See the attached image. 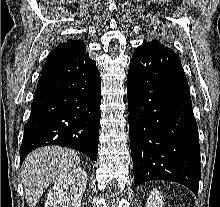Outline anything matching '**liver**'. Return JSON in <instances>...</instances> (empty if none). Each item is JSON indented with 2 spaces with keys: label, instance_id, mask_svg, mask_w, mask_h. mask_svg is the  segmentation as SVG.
<instances>
[{
  "label": "liver",
  "instance_id": "1",
  "mask_svg": "<svg viewBox=\"0 0 220 207\" xmlns=\"http://www.w3.org/2000/svg\"><path fill=\"white\" fill-rule=\"evenodd\" d=\"M79 162L77 153L60 146H46L32 151L21 168V182L29 207H34L47 187Z\"/></svg>",
  "mask_w": 220,
  "mask_h": 207
}]
</instances>
